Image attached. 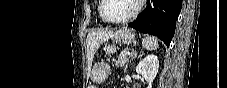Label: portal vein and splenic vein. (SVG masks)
<instances>
[{"label": "portal vein and splenic vein", "instance_id": "obj_1", "mask_svg": "<svg viewBox=\"0 0 227 88\" xmlns=\"http://www.w3.org/2000/svg\"><path fill=\"white\" fill-rule=\"evenodd\" d=\"M125 56H128L129 54H130V52L129 51H125Z\"/></svg>", "mask_w": 227, "mask_h": 88}]
</instances>
